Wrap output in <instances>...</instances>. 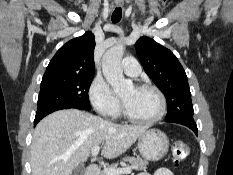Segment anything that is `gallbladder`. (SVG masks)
<instances>
[{
  "label": "gallbladder",
  "mask_w": 233,
  "mask_h": 175,
  "mask_svg": "<svg viewBox=\"0 0 233 175\" xmlns=\"http://www.w3.org/2000/svg\"><path fill=\"white\" fill-rule=\"evenodd\" d=\"M85 168L83 165H78L72 172V175H83Z\"/></svg>",
  "instance_id": "bac80fb5"
}]
</instances>
